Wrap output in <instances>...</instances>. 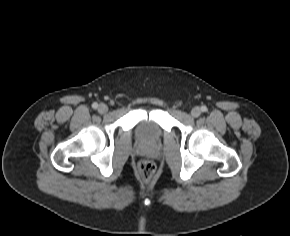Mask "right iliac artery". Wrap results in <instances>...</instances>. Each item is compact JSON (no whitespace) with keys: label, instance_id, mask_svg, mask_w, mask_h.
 <instances>
[{"label":"right iliac artery","instance_id":"82829eb1","mask_svg":"<svg viewBox=\"0 0 290 236\" xmlns=\"http://www.w3.org/2000/svg\"><path fill=\"white\" fill-rule=\"evenodd\" d=\"M98 107V104L95 102L92 104V108L96 109Z\"/></svg>","mask_w":290,"mask_h":236}]
</instances>
